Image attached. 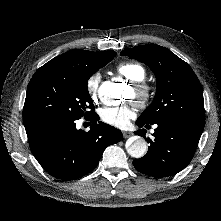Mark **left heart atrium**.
<instances>
[{
  "label": "left heart atrium",
  "mask_w": 221,
  "mask_h": 221,
  "mask_svg": "<svg viewBox=\"0 0 221 221\" xmlns=\"http://www.w3.org/2000/svg\"><path fill=\"white\" fill-rule=\"evenodd\" d=\"M99 116L107 124L124 128L134 117V111L128 105L106 106L100 109Z\"/></svg>",
  "instance_id": "left-heart-atrium-1"
}]
</instances>
